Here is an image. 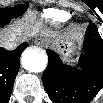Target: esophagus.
Returning a JSON list of instances; mask_svg holds the SVG:
<instances>
[{
	"label": "esophagus",
	"instance_id": "34e87169",
	"mask_svg": "<svg viewBox=\"0 0 103 103\" xmlns=\"http://www.w3.org/2000/svg\"><path fill=\"white\" fill-rule=\"evenodd\" d=\"M34 44L40 47H46L48 45V42L46 39L40 37L34 40Z\"/></svg>",
	"mask_w": 103,
	"mask_h": 103
}]
</instances>
